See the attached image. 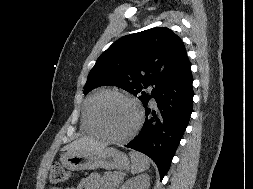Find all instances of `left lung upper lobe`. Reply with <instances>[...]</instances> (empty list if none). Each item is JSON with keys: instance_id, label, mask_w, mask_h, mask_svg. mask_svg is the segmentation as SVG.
Wrapping results in <instances>:
<instances>
[{"instance_id": "obj_1", "label": "left lung upper lobe", "mask_w": 253, "mask_h": 189, "mask_svg": "<svg viewBox=\"0 0 253 189\" xmlns=\"http://www.w3.org/2000/svg\"><path fill=\"white\" fill-rule=\"evenodd\" d=\"M186 58L182 40L166 27L124 36L98 58L84 93L112 85L139 95L145 105L179 71ZM149 86H154L151 95L142 91Z\"/></svg>"}]
</instances>
